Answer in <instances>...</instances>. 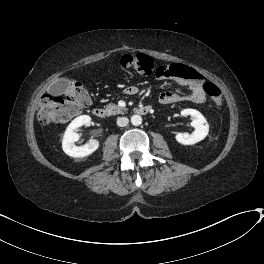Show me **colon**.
Masks as SVG:
<instances>
[{
	"label": "colon",
	"instance_id": "1",
	"mask_svg": "<svg viewBox=\"0 0 264 264\" xmlns=\"http://www.w3.org/2000/svg\"><path fill=\"white\" fill-rule=\"evenodd\" d=\"M119 64L123 70H133L144 75L155 74L158 77H168L172 74L169 66L156 65L151 57L143 54L123 55ZM203 88L212 104L222 105L223 95L216 84L206 81ZM89 103V90L83 83L76 82L57 96L44 95L40 102L38 119L42 123H65L79 115Z\"/></svg>",
	"mask_w": 264,
	"mask_h": 264
}]
</instances>
